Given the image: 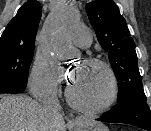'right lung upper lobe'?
<instances>
[{"mask_svg": "<svg viewBox=\"0 0 151 131\" xmlns=\"http://www.w3.org/2000/svg\"><path fill=\"white\" fill-rule=\"evenodd\" d=\"M41 12V5L36 0L23 4L4 30L0 43L16 42L22 45H34Z\"/></svg>", "mask_w": 151, "mask_h": 131, "instance_id": "cb5924a9", "label": "right lung upper lobe"}]
</instances>
